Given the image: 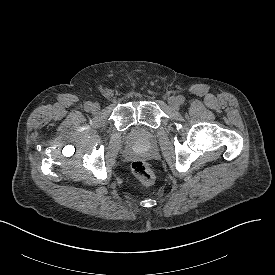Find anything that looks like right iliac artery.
<instances>
[{
	"label": "right iliac artery",
	"mask_w": 275,
	"mask_h": 275,
	"mask_svg": "<svg viewBox=\"0 0 275 275\" xmlns=\"http://www.w3.org/2000/svg\"><path fill=\"white\" fill-rule=\"evenodd\" d=\"M91 102H87V103H85V105H84V109L86 110V111H90L91 110Z\"/></svg>",
	"instance_id": "right-iliac-artery-1"
}]
</instances>
